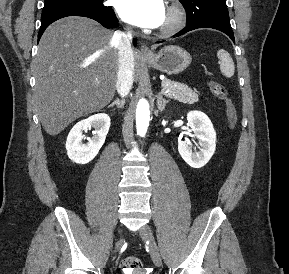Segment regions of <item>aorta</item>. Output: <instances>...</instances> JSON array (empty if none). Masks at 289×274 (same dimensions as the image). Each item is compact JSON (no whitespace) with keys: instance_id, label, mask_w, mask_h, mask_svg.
I'll list each match as a JSON object with an SVG mask.
<instances>
[{"instance_id":"aorta-1","label":"aorta","mask_w":289,"mask_h":274,"mask_svg":"<svg viewBox=\"0 0 289 274\" xmlns=\"http://www.w3.org/2000/svg\"><path fill=\"white\" fill-rule=\"evenodd\" d=\"M150 121L149 103L146 99H140L136 108V129L137 133L145 136Z\"/></svg>"}]
</instances>
